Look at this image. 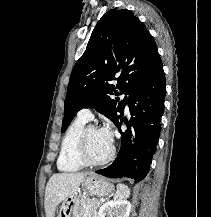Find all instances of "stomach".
<instances>
[{
	"label": "stomach",
	"instance_id": "1",
	"mask_svg": "<svg viewBox=\"0 0 211 217\" xmlns=\"http://www.w3.org/2000/svg\"><path fill=\"white\" fill-rule=\"evenodd\" d=\"M86 192L92 196L104 197L110 195L114 187L105 178L89 174L82 181ZM81 200L77 191L68 196L60 207L57 217H80Z\"/></svg>",
	"mask_w": 211,
	"mask_h": 217
}]
</instances>
